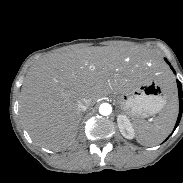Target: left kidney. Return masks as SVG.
<instances>
[{"label":"left kidney","mask_w":183,"mask_h":183,"mask_svg":"<svg viewBox=\"0 0 183 183\" xmlns=\"http://www.w3.org/2000/svg\"><path fill=\"white\" fill-rule=\"evenodd\" d=\"M117 124L121 134L127 139H133L135 132L133 126L126 115L120 114L117 116Z\"/></svg>","instance_id":"left-kidney-1"}]
</instances>
